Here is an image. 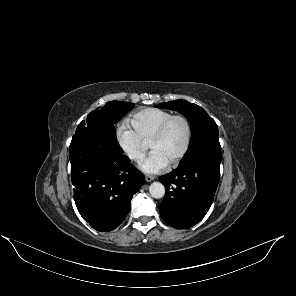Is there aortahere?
Returning a JSON list of instances; mask_svg holds the SVG:
<instances>
[{"mask_svg": "<svg viewBox=\"0 0 296 296\" xmlns=\"http://www.w3.org/2000/svg\"><path fill=\"white\" fill-rule=\"evenodd\" d=\"M149 193L153 198H162L165 195V187L160 182H153L149 186Z\"/></svg>", "mask_w": 296, "mask_h": 296, "instance_id": "762f6f07", "label": "aorta"}]
</instances>
